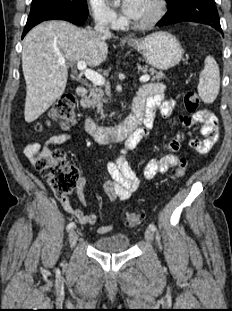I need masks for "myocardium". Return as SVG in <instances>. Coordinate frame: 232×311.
<instances>
[{"label":"myocardium","instance_id":"1","mask_svg":"<svg viewBox=\"0 0 232 311\" xmlns=\"http://www.w3.org/2000/svg\"><path fill=\"white\" fill-rule=\"evenodd\" d=\"M154 9L152 14L144 21H132L131 25L136 29H149L155 26L164 16L166 10L165 0H152Z\"/></svg>","mask_w":232,"mask_h":311}]
</instances>
